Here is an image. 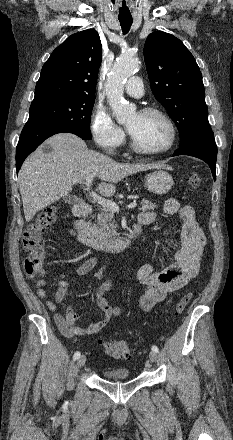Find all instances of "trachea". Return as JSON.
Wrapping results in <instances>:
<instances>
[{"label": "trachea", "instance_id": "obj_1", "mask_svg": "<svg viewBox=\"0 0 233 440\" xmlns=\"http://www.w3.org/2000/svg\"><path fill=\"white\" fill-rule=\"evenodd\" d=\"M123 34H127L130 30L132 19H119Z\"/></svg>", "mask_w": 233, "mask_h": 440}]
</instances>
